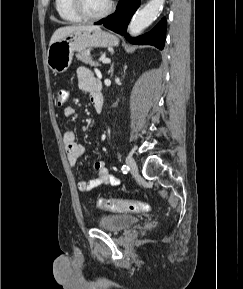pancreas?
I'll list each match as a JSON object with an SVG mask.
<instances>
[{
	"mask_svg": "<svg viewBox=\"0 0 243 289\" xmlns=\"http://www.w3.org/2000/svg\"><path fill=\"white\" fill-rule=\"evenodd\" d=\"M76 57L78 60L82 61L85 64H89L91 66H99L98 63L92 61L91 55H90V49L84 50L76 54Z\"/></svg>",
	"mask_w": 243,
	"mask_h": 289,
	"instance_id": "pancreas-1",
	"label": "pancreas"
}]
</instances>
